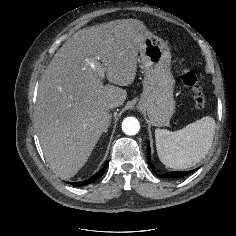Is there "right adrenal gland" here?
I'll list each match as a JSON object with an SVG mask.
<instances>
[{"instance_id":"1","label":"right adrenal gland","mask_w":236,"mask_h":236,"mask_svg":"<svg viewBox=\"0 0 236 236\" xmlns=\"http://www.w3.org/2000/svg\"><path fill=\"white\" fill-rule=\"evenodd\" d=\"M109 126H110V122H109V124L106 126V128L104 129V133H106V132L108 131Z\"/></svg>"}]
</instances>
